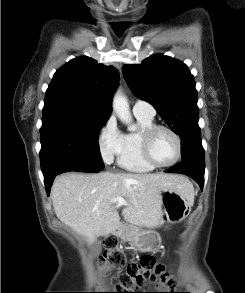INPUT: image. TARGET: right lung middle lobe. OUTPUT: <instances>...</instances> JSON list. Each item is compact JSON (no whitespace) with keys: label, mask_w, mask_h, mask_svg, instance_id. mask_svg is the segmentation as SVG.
Returning a JSON list of instances; mask_svg holds the SVG:
<instances>
[{"label":"right lung middle lobe","mask_w":245,"mask_h":293,"mask_svg":"<svg viewBox=\"0 0 245 293\" xmlns=\"http://www.w3.org/2000/svg\"><path fill=\"white\" fill-rule=\"evenodd\" d=\"M103 123L105 122L76 116H43L40 161L44 177L65 164L103 168L98 145Z\"/></svg>","instance_id":"obj_1"}]
</instances>
